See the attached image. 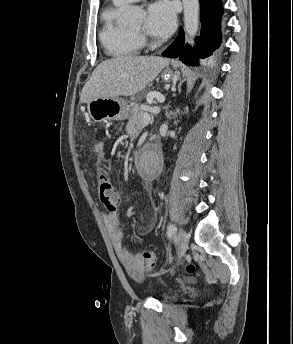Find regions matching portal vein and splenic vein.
<instances>
[{
	"instance_id": "portal-vein-and-splenic-vein-1",
	"label": "portal vein and splenic vein",
	"mask_w": 293,
	"mask_h": 344,
	"mask_svg": "<svg viewBox=\"0 0 293 344\" xmlns=\"http://www.w3.org/2000/svg\"><path fill=\"white\" fill-rule=\"evenodd\" d=\"M149 122H150V114L145 112L143 115V124L147 125Z\"/></svg>"
}]
</instances>
